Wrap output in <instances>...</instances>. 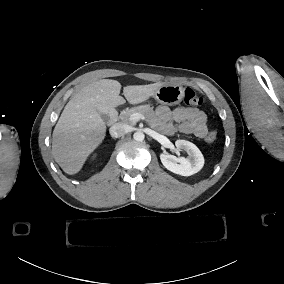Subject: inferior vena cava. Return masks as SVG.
I'll return each instance as SVG.
<instances>
[{
    "label": "inferior vena cava",
    "mask_w": 284,
    "mask_h": 284,
    "mask_svg": "<svg viewBox=\"0 0 284 284\" xmlns=\"http://www.w3.org/2000/svg\"><path fill=\"white\" fill-rule=\"evenodd\" d=\"M109 131H110V135L113 138H118V137H121V136L125 135L126 133H128L129 127H128V125H126L124 123L118 122V123H115L114 125H112L110 127Z\"/></svg>",
    "instance_id": "1"
}]
</instances>
